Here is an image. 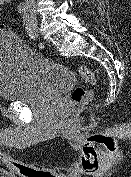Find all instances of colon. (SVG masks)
<instances>
[{
    "instance_id": "1",
    "label": "colon",
    "mask_w": 131,
    "mask_h": 177,
    "mask_svg": "<svg viewBox=\"0 0 131 177\" xmlns=\"http://www.w3.org/2000/svg\"><path fill=\"white\" fill-rule=\"evenodd\" d=\"M13 4V0H0V9H8ZM78 74L91 86L96 85V76L94 72L84 65L76 67ZM78 86L74 88L70 95L69 109L75 110L82 105L87 104L93 97V89Z\"/></svg>"
}]
</instances>
